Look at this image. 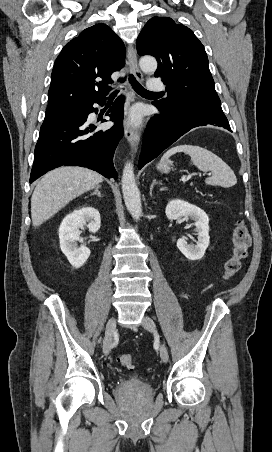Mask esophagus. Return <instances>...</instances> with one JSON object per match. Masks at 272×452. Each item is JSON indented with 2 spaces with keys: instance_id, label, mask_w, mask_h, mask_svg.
Instances as JSON below:
<instances>
[{
  "instance_id": "1",
  "label": "esophagus",
  "mask_w": 272,
  "mask_h": 452,
  "mask_svg": "<svg viewBox=\"0 0 272 452\" xmlns=\"http://www.w3.org/2000/svg\"><path fill=\"white\" fill-rule=\"evenodd\" d=\"M127 58L131 72L138 80H141L143 78V74L138 67L137 55L132 45L128 46ZM124 134L126 139L136 150L140 141V132L131 126L126 125Z\"/></svg>"
}]
</instances>
